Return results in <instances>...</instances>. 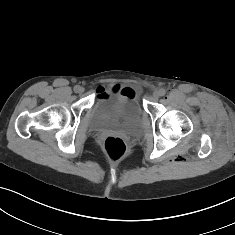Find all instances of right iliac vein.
Instances as JSON below:
<instances>
[{
  "label": "right iliac vein",
  "instance_id": "63e3f726",
  "mask_svg": "<svg viewBox=\"0 0 235 235\" xmlns=\"http://www.w3.org/2000/svg\"><path fill=\"white\" fill-rule=\"evenodd\" d=\"M84 92V88L79 86L78 90H77V93L81 94Z\"/></svg>",
  "mask_w": 235,
  "mask_h": 235
}]
</instances>
